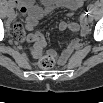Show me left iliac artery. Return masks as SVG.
<instances>
[{
    "label": "left iliac artery",
    "instance_id": "44dca946",
    "mask_svg": "<svg viewBox=\"0 0 103 103\" xmlns=\"http://www.w3.org/2000/svg\"><path fill=\"white\" fill-rule=\"evenodd\" d=\"M93 11H94V5H93V4H90V5L88 6V12H87V14L89 13V15H90V14L93 13Z\"/></svg>",
    "mask_w": 103,
    "mask_h": 103
}]
</instances>
